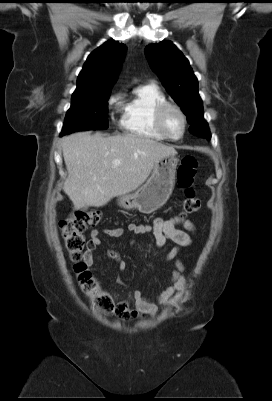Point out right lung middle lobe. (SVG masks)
<instances>
[{"label": "right lung middle lobe", "mask_w": 272, "mask_h": 401, "mask_svg": "<svg viewBox=\"0 0 272 401\" xmlns=\"http://www.w3.org/2000/svg\"><path fill=\"white\" fill-rule=\"evenodd\" d=\"M111 89L72 97L61 136L77 130L107 129V101Z\"/></svg>", "instance_id": "1"}]
</instances>
